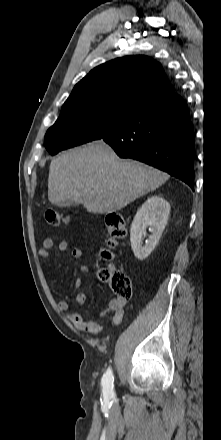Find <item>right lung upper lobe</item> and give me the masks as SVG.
I'll list each match as a JSON object with an SVG mask.
<instances>
[{"instance_id":"obj_1","label":"right lung upper lobe","mask_w":221,"mask_h":440,"mask_svg":"<svg viewBox=\"0 0 221 440\" xmlns=\"http://www.w3.org/2000/svg\"><path fill=\"white\" fill-rule=\"evenodd\" d=\"M174 92L162 66L147 56H126L94 68L78 82L64 105L115 102L134 110Z\"/></svg>"}]
</instances>
